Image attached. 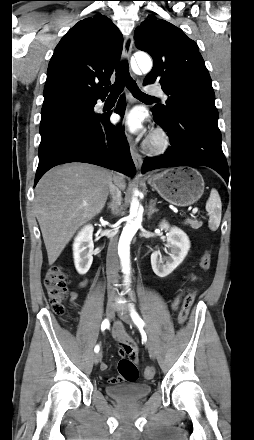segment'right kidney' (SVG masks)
<instances>
[{
    "instance_id": "1",
    "label": "right kidney",
    "mask_w": 254,
    "mask_h": 440,
    "mask_svg": "<svg viewBox=\"0 0 254 440\" xmlns=\"http://www.w3.org/2000/svg\"><path fill=\"white\" fill-rule=\"evenodd\" d=\"M93 226H84L74 239L73 256L77 272L84 275L88 272L93 262Z\"/></svg>"
}]
</instances>
